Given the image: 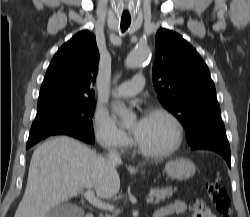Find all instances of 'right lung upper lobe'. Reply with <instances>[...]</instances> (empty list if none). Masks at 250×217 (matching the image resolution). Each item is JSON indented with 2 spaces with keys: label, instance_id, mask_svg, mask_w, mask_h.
<instances>
[{
  "label": "right lung upper lobe",
  "instance_id": "cb5924a9",
  "mask_svg": "<svg viewBox=\"0 0 250 217\" xmlns=\"http://www.w3.org/2000/svg\"><path fill=\"white\" fill-rule=\"evenodd\" d=\"M98 62L94 34L88 30L77 33L53 57L41 85L37 111L95 101Z\"/></svg>",
  "mask_w": 250,
  "mask_h": 217
}]
</instances>
